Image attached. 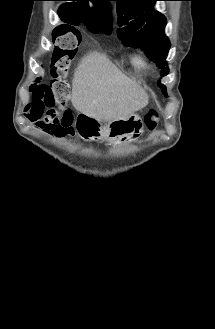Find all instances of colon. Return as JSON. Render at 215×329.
Returning a JSON list of instances; mask_svg holds the SVG:
<instances>
[{
    "instance_id": "1",
    "label": "colon",
    "mask_w": 215,
    "mask_h": 329,
    "mask_svg": "<svg viewBox=\"0 0 215 329\" xmlns=\"http://www.w3.org/2000/svg\"><path fill=\"white\" fill-rule=\"evenodd\" d=\"M54 38L55 51L52 56L51 66H44V73L40 74V81L32 82V92L30 105L27 113L30 114H65L62 125L70 127L71 118L69 116L70 108L66 107V101L69 95V85L66 80L67 71L76 49H81L83 37L79 31V25H58L55 31H52ZM37 67H42V56H37ZM145 126L149 130L156 128L158 115L156 111H149L144 119ZM70 129V128H69Z\"/></svg>"
}]
</instances>
